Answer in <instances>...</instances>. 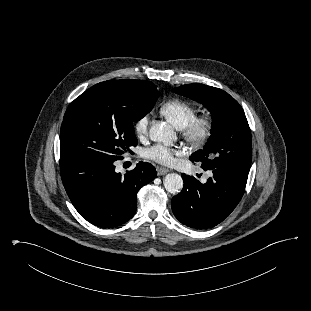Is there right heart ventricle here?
I'll return each mask as SVG.
<instances>
[{"label": "right heart ventricle", "instance_id": "right-heart-ventricle-1", "mask_svg": "<svg viewBox=\"0 0 311 311\" xmlns=\"http://www.w3.org/2000/svg\"><path fill=\"white\" fill-rule=\"evenodd\" d=\"M196 112L193 104L181 99L168 100L160 107V113L178 130L183 129Z\"/></svg>", "mask_w": 311, "mask_h": 311}]
</instances>
